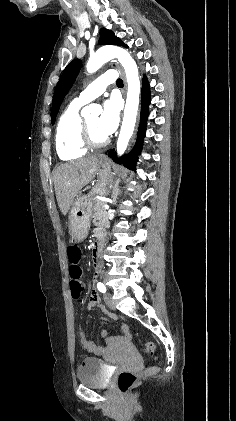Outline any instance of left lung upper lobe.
I'll list each match as a JSON object with an SVG mask.
<instances>
[{"label": "left lung upper lobe", "instance_id": "obj_1", "mask_svg": "<svg viewBox=\"0 0 236 421\" xmlns=\"http://www.w3.org/2000/svg\"><path fill=\"white\" fill-rule=\"evenodd\" d=\"M100 43L101 44H112V45H118V46H124L125 45L122 40L118 37H116L113 33V31L108 29H101L100 30ZM81 68V60L75 59L71 61L65 70L63 71V74L57 84L54 99L52 103V111H51V122L54 124L56 115L59 110V106L62 103L63 98L71 88L72 84L74 83L79 71Z\"/></svg>", "mask_w": 236, "mask_h": 421}]
</instances>
